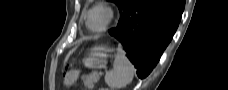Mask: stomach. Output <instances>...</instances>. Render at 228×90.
Wrapping results in <instances>:
<instances>
[{
	"mask_svg": "<svg viewBox=\"0 0 228 90\" xmlns=\"http://www.w3.org/2000/svg\"><path fill=\"white\" fill-rule=\"evenodd\" d=\"M111 48L107 46H98L91 50L89 55L84 59V65L88 68H102L107 64V59L110 57ZM79 70H71L67 73L66 82H74L78 76Z\"/></svg>",
	"mask_w": 228,
	"mask_h": 90,
	"instance_id": "obj_1",
	"label": "stomach"
}]
</instances>
